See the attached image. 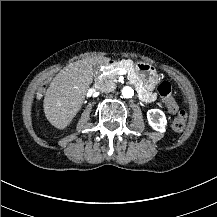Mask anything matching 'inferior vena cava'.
<instances>
[{"mask_svg": "<svg viewBox=\"0 0 217 217\" xmlns=\"http://www.w3.org/2000/svg\"><path fill=\"white\" fill-rule=\"evenodd\" d=\"M99 84H100V86L98 87V89L101 92H105V93L110 92V86L107 85L106 81H102Z\"/></svg>", "mask_w": 217, "mask_h": 217, "instance_id": "obj_1", "label": "inferior vena cava"}]
</instances>
